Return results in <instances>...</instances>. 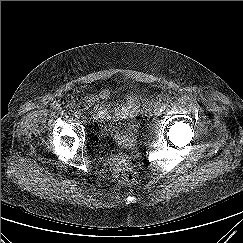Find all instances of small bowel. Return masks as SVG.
<instances>
[{"label": "small bowel", "mask_w": 243, "mask_h": 243, "mask_svg": "<svg viewBox=\"0 0 243 243\" xmlns=\"http://www.w3.org/2000/svg\"><path fill=\"white\" fill-rule=\"evenodd\" d=\"M112 94L109 89H101L95 94H89L84 99L85 107L93 113L95 120L104 123H113L109 129L117 132L123 138H127L132 130L131 120L140 109V99L134 94H122L123 104L108 107L107 103Z\"/></svg>", "instance_id": "1"}]
</instances>
